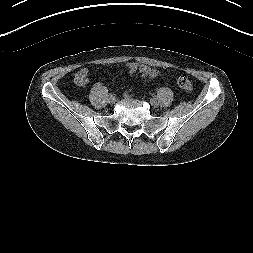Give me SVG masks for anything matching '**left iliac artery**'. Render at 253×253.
I'll list each match as a JSON object with an SVG mask.
<instances>
[{
    "label": "left iliac artery",
    "instance_id": "1",
    "mask_svg": "<svg viewBox=\"0 0 253 253\" xmlns=\"http://www.w3.org/2000/svg\"><path fill=\"white\" fill-rule=\"evenodd\" d=\"M152 98H153L154 100H157V99L159 98V95H158L157 93H154V94L152 95Z\"/></svg>",
    "mask_w": 253,
    "mask_h": 253
}]
</instances>
